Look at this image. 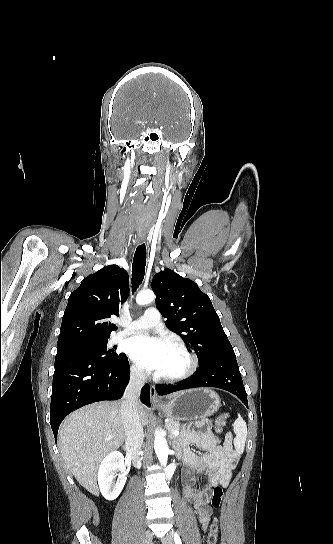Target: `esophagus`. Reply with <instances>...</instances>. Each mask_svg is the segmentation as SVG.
<instances>
[{"label":"esophagus","instance_id":"obj_1","mask_svg":"<svg viewBox=\"0 0 333 544\" xmlns=\"http://www.w3.org/2000/svg\"><path fill=\"white\" fill-rule=\"evenodd\" d=\"M144 241H145V236H144V235H140V236L138 237V243H139V244H142V243H144ZM150 398H151L152 404L161 403V399H160V397L158 396L157 391H156V388H155L154 385H151V386H150Z\"/></svg>","mask_w":333,"mask_h":544}]
</instances>
